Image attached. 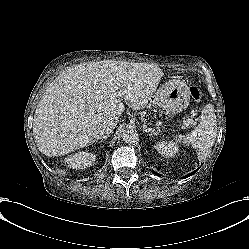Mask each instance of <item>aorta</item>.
Here are the masks:
<instances>
[{
	"label": "aorta",
	"instance_id": "aorta-1",
	"mask_svg": "<svg viewBox=\"0 0 249 249\" xmlns=\"http://www.w3.org/2000/svg\"><path fill=\"white\" fill-rule=\"evenodd\" d=\"M122 140L127 144L135 143L137 140V133L133 129L124 130L122 133Z\"/></svg>",
	"mask_w": 249,
	"mask_h": 249
}]
</instances>
